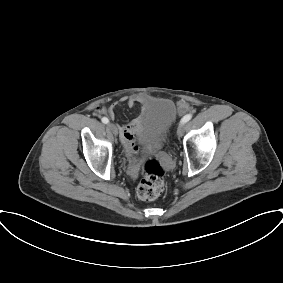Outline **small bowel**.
<instances>
[{
	"label": "small bowel",
	"instance_id": "obj_1",
	"mask_svg": "<svg viewBox=\"0 0 283 283\" xmlns=\"http://www.w3.org/2000/svg\"><path fill=\"white\" fill-rule=\"evenodd\" d=\"M120 103L126 104L128 107L132 108L137 104L143 106L141 114L125 125L118 126L120 132V138L124 146L125 152L129 158L139 150V143L143 139L142 123L144 121L145 113L148 106V98L144 95L135 94L129 97H124L120 100ZM117 103L110 105L104 113L110 118H114L115 107ZM188 110V105L181 101L178 103L179 114H184Z\"/></svg>",
	"mask_w": 283,
	"mask_h": 283
}]
</instances>
